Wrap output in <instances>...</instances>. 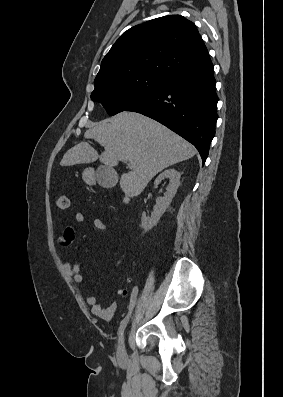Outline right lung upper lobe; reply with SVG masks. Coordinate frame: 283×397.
I'll use <instances>...</instances> for the list:
<instances>
[{
  "label": "right lung upper lobe",
  "instance_id": "obj_1",
  "mask_svg": "<svg viewBox=\"0 0 283 397\" xmlns=\"http://www.w3.org/2000/svg\"><path fill=\"white\" fill-rule=\"evenodd\" d=\"M210 62L195 24L181 15H169L124 32L102 60L94 82L138 75L166 81Z\"/></svg>",
  "mask_w": 283,
  "mask_h": 397
}]
</instances>
